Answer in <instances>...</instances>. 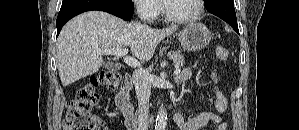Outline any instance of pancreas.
<instances>
[{
	"mask_svg": "<svg viewBox=\"0 0 299 130\" xmlns=\"http://www.w3.org/2000/svg\"><path fill=\"white\" fill-rule=\"evenodd\" d=\"M168 57L173 60L176 67H182L184 64V55L181 51H173L168 54Z\"/></svg>",
	"mask_w": 299,
	"mask_h": 130,
	"instance_id": "cf45deb5",
	"label": "pancreas"
}]
</instances>
